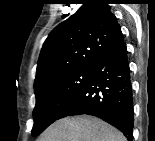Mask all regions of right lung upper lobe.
Instances as JSON below:
<instances>
[{
  "label": "right lung upper lobe",
  "instance_id": "obj_1",
  "mask_svg": "<svg viewBox=\"0 0 155 141\" xmlns=\"http://www.w3.org/2000/svg\"><path fill=\"white\" fill-rule=\"evenodd\" d=\"M122 35L105 0H89L47 37L42 47L34 87L47 78L77 68H94Z\"/></svg>",
  "mask_w": 155,
  "mask_h": 141
}]
</instances>
